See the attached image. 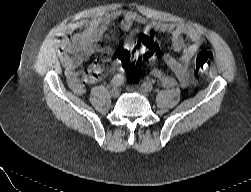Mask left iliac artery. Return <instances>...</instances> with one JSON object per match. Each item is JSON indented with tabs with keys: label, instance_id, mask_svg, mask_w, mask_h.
<instances>
[{
	"label": "left iliac artery",
	"instance_id": "obj_1",
	"mask_svg": "<svg viewBox=\"0 0 251 192\" xmlns=\"http://www.w3.org/2000/svg\"><path fill=\"white\" fill-rule=\"evenodd\" d=\"M142 87H143L145 90L149 91V92H151V91L153 90V85H152L151 83H149V82L143 83V84H142Z\"/></svg>",
	"mask_w": 251,
	"mask_h": 192
}]
</instances>
